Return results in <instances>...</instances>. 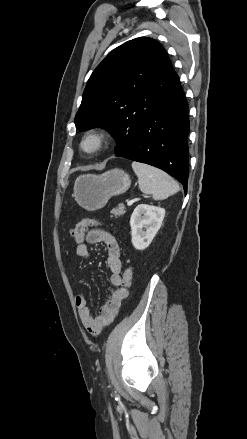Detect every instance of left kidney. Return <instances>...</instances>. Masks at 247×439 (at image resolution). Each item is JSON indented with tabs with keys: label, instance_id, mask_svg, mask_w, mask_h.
<instances>
[{
	"label": "left kidney",
	"instance_id": "1",
	"mask_svg": "<svg viewBox=\"0 0 247 439\" xmlns=\"http://www.w3.org/2000/svg\"><path fill=\"white\" fill-rule=\"evenodd\" d=\"M165 209L147 204L138 205L130 219L132 244L137 250H144L160 229Z\"/></svg>",
	"mask_w": 247,
	"mask_h": 439
}]
</instances>
